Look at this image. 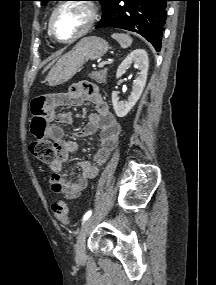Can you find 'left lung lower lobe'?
Returning <instances> with one entry per match:
<instances>
[{
  "label": "left lung lower lobe",
  "mask_w": 216,
  "mask_h": 285,
  "mask_svg": "<svg viewBox=\"0 0 216 285\" xmlns=\"http://www.w3.org/2000/svg\"><path fill=\"white\" fill-rule=\"evenodd\" d=\"M167 1L170 0H114L96 28L114 27L139 33L160 51Z\"/></svg>",
  "instance_id": "obj_1"
}]
</instances>
